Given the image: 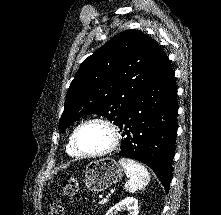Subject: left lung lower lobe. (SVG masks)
Returning <instances> with one entry per match:
<instances>
[{
  "mask_svg": "<svg viewBox=\"0 0 221 215\" xmlns=\"http://www.w3.org/2000/svg\"><path fill=\"white\" fill-rule=\"evenodd\" d=\"M177 87L167 58L131 102L117 155L141 161L153 169L169 190L177 132Z\"/></svg>",
  "mask_w": 221,
  "mask_h": 215,
  "instance_id": "1",
  "label": "left lung lower lobe"
}]
</instances>
